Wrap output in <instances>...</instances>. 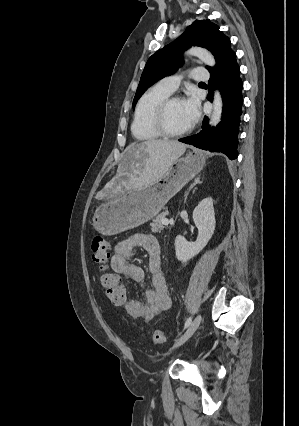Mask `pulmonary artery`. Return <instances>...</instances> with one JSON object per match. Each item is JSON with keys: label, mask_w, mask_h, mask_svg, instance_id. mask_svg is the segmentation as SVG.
I'll return each mask as SVG.
<instances>
[{"label": "pulmonary artery", "mask_w": 299, "mask_h": 426, "mask_svg": "<svg viewBox=\"0 0 299 426\" xmlns=\"http://www.w3.org/2000/svg\"><path fill=\"white\" fill-rule=\"evenodd\" d=\"M191 77L196 81H205L208 79V73L206 69L197 67L192 70ZM180 81V75H171L163 78L159 84L168 92L173 93L178 88Z\"/></svg>", "instance_id": "e3ab8cb5"}]
</instances>
